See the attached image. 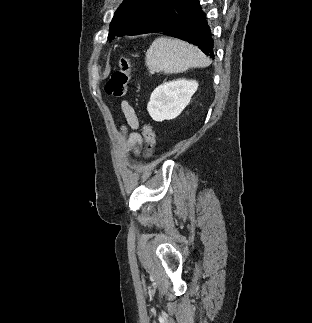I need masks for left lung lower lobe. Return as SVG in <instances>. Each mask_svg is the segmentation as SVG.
Listing matches in <instances>:
<instances>
[{
    "mask_svg": "<svg viewBox=\"0 0 312 323\" xmlns=\"http://www.w3.org/2000/svg\"><path fill=\"white\" fill-rule=\"evenodd\" d=\"M169 9V13L148 33L161 32L167 36L186 40L214 58L211 23L199 0H173Z\"/></svg>",
    "mask_w": 312,
    "mask_h": 323,
    "instance_id": "left-lung-lower-lobe-1",
    "label": "left lung lower lobe"
}]
</instances>
